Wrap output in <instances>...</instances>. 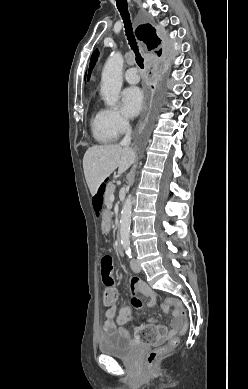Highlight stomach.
<instances>
[{
    "mask_svg": "<svg viewBox=\"0 0 248 389\" xmlns=\"http://www.w3.org/2000/svg\"><path fill=\"white\" fill-rule=\"evenodd\" d=\"M110 212H111V209L109 207L102 208L101 224L103 226H102L101 233L103 235H110L111 234V230H112L111 225L113 224L112 220H114L115 215H114V213H110Z\"/></svg>",
    "mask_w": 248,
    "mask_h": 389,
    "instance_id": "0dacf381",
    "label": "stomach"
}]
</instances>
